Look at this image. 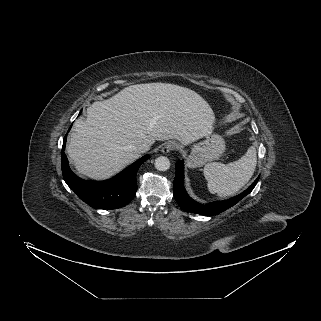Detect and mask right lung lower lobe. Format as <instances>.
<instances>
[{"instance_id":"obj_1","label":"right lung lower lobe","mask_w":321,"mask_h":321,"mask_svg":"<svg viewBox=\"0 0 321 321\" xmlns=\"http://www.w3.org/2000/svg\"><path fill=\"white\" fill-rule=\"evenodd\" d=\"M71 128V127H70ZM62 147V174L67 185L85 203L95 209H116L127 205L137 191L136 175L139 167L149 156H144L106 182H92L79 178L69 167Z\"/></svg>"}]
</instances>
